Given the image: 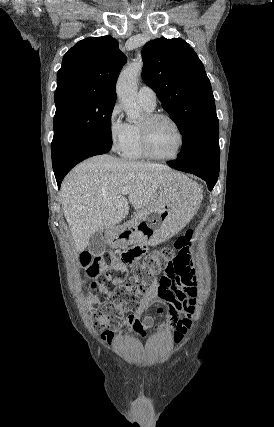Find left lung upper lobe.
<instances>
[{
    "label": "left lung upper lobe",
    "mask_w": 274,
    "mask_h": 427,
    "mask_svg": "<svg viewBox=\"0 0 274 427\" xmlns=\"http://www.w3.org/2000/svg\"><path fill=\"white\" fill-rule=\"evenodd\" d=\"M142 77L183 136L180 161L219 163V122L210 81L197 54L181 38L149 41Z\"/></svg>",
    "instance_id": "obj_1"
}]
</instances>
